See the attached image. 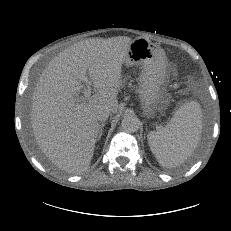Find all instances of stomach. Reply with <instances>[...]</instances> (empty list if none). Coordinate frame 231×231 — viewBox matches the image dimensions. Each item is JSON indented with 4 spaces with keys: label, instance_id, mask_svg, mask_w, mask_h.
<instances>
[{
    "label": "stomach",
    "instance_id": "obj_1",
    "mask_svg": "<svg viewBox=\"0 0 231 231\" xmlns=\"http://www.w3.org/2000/svg\"><path fill=\"white\" fill-rule=\"evenodd\" d=\"M126 66H141L138 96L141 109L153 115L161 106L169 79L165 51L149 39L138 37L129 44Z\"/></svg>",
    "mask_w": 231,
    "mask_h": 231
}]
</instances>
